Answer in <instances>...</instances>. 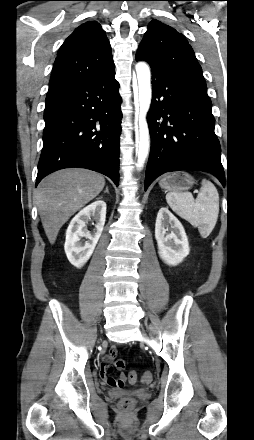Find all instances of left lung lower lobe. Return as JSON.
<instances>
[{"mask_svg": "<svg viewBox=\"0 0 254 440\" xmlns=\"http://www.w3.org/2000/svg\"><path fill=\"white\" fill-rule=\"evenodd\" d=\"M147 62L152 70V103L147 114L151 151L145 190L161 174L179 170L209 172L224 185L221 149L207 92L185 77Z\"/></svg>", "mask_w": 254, "mask_h": 440, "instance_id": "0a47b994", "label": "left lung lower lobe"}]
</instances>
